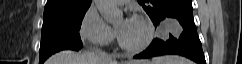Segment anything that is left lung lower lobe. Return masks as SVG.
<instances>
[{"mask_svg":"<svg viewBox=\"0 0 242 64\" xmlns=\"http://www.w3.org/2000/svg\"><path fill=\"white\" fill-rule=\"evenodd\" d=\"M166 18L178 20L183 28L180 36L174 37L170 34L169 39L166 41L156 38L144 52L134 56V58L145 59L155 56L175 54L187 57L198 64H206L202 45L193 19L192 4L170 11L166 14L163 20Z\"/></svg>","mask_w":242,"mask_h":64,"instance_id":"0a47b994","label":"left lung lower lobe"}]
</instances>
